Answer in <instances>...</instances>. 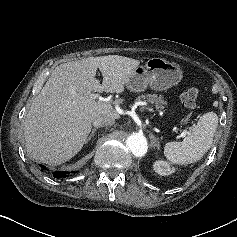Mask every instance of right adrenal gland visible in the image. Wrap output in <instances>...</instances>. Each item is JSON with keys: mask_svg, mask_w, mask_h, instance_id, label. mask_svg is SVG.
<instances>
[{"mask_svg": "<svg viewBox=\"0 0 237 237\" xmlns=\"http://www.w3.org/2000/svg\"><path fill=\"white\" fill-rule=\"evenodd\" d=\"M97 130H98V127L92 129V131H91V133H90V135H89V137L87 138V140H86L85 143H88V142L94 137L95 132H96Z\"/></svg>", "mask_w": 237, "mask_h": 237, "instance_id": "obj_1", "label": "right adrenal gland"}]
</instances>
